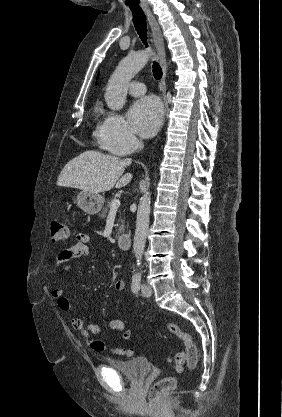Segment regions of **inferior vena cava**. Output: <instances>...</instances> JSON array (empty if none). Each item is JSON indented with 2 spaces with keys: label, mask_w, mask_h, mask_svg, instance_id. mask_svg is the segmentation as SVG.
I'll use <instances>...</instances> for the list:
<instances>
[{
  "label": "inferior vena cava",
  "mask_w": 282,
  "mask_h": 417,
  "mask_svg": "<svg viewBox=\"0 0 282 417\" xmlns=\"http://www.w3.org/2000/svg\"><path fill=\"white\" fill-rule=\"evenodd\" d=\"M144 144L143 142H137V148H143Z\"/></svg>",
  "instance_id": "1"
}]
</instances>
